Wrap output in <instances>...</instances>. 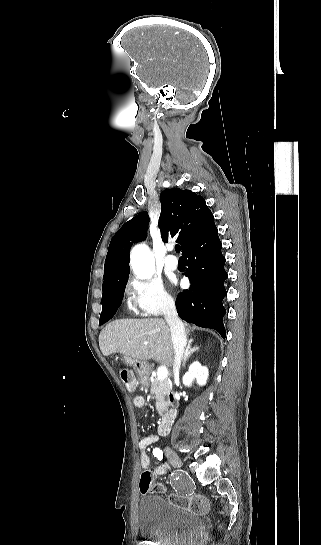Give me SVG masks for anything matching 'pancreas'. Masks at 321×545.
<instances>
[{
    "label": "pancreas",
    "instance_id": "pancreas-1",
    "mask_svg": "<svg viewBox=\"0 0 321 545\" xmlns=\"http://www.w3.org/2000/svg\"><path fill=\"white\" fill-rule=\"evenodd\" d=\"M149 367H151V365H149ZM151 371L152 369L145 371V376L148 377V379ZM170 391L171 387L168 379H163V381H154V383H151L150 393L151 395H155L156 409L159 415H163L164 411H166V403H168V395Z\"/></svg>",
    "mask_w": 321,
    "mask_h": 545
}]
</instances>
